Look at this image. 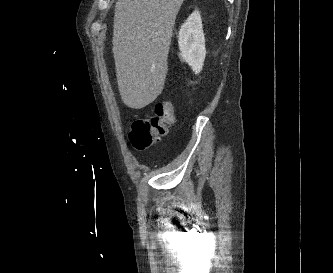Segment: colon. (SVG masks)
<instances>
[{
    "mask_svg": "<svg viewBox=\"0 0 333 273\" xmlns=\"http://www.w3.org/2000/svg\"><path fill=\"white\" fill-rule=\"evenodd\" d=\"M175 119L174 106L169 100L156 103L154 114L146 119L135 120L132 124L129 139L137 150L151 147L159 137L168 132Z\"/></svg>",
    "mask_w": 333,
    "mask_h": 273,
    "instance_id": "1",
    "label": "colon"
}]
</instances>
